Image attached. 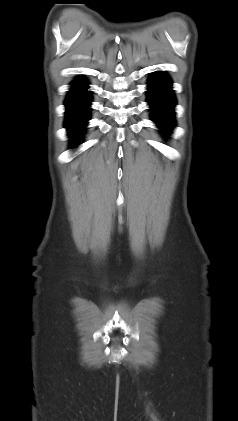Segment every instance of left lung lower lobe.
<instances>
[{
    "label": "left lung lower lobe",
    "instance_id": "0a47b994",
    "mask_svg": "<svg viewBox=\"0 0 238 421\" xmlns=\"http://www.w3.org/2000/svg\"><path fill=\"white\" fill-rule=\"evenodd\" d=\"M147 91L151 105L152 119L158 126L168 132L174 126L173 107L175 97L171 89V80L163 72H156L149 78Z\"/></svg>",
    "mask_w": 238,
    "mask_h": 421
}]
</instances>
